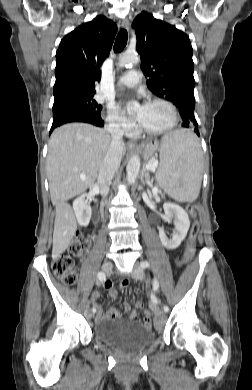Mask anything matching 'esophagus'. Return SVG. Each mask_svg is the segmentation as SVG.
Returning a JSON list of instances; mask_svg holds the SVG:
<instances>
[{
    "label": "esophagus",
    "mask_w": 252,
    "mask_h": 390,
    "mask_svg": "<svg viewBox=\"0 0 252 390\" xmlns=\"http://www.w3.org/2000/svg\"><path fill=\"white\" fill-rule=\"evenodd\" d=\"M129 26H130V23H129V20L128 19H123L121 21V27L125 30H129ZM128 146L131 147V148H134L135 147V144L133 142H129L128 143Z\"/></svg>",
    "instance_id": "34e87169"
}]
</instances>
